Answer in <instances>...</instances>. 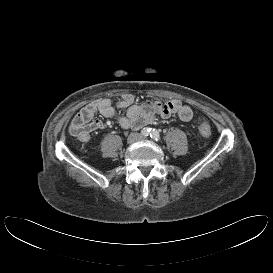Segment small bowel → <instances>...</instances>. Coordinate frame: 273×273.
<instances>
[{"label": "small bowel", "mask_w": 273, "mask_h": 273, "mask_svg": "<svg viewBox=\"0 0 273 273\" xmlns=\"http://www.w3.org/2000/svg\"><path fill=\"white\" fill-rule=\"evenodd\" d=\"M116 108H126V115H119ZM97 113L107 118H115L124 129H139L152 123L157 116L167 118L176 115L185 122L191 120L193 116L191 108L179 100L134 104L133 97L126 94L115 104L111 100L103 98L83 107L70 123V133L79 141L88 142L91 139L92 132L104 129L106 126L103 121L95 119Z\"/></svg>", "instance_id": "1"}]
</instances>
